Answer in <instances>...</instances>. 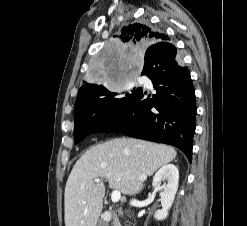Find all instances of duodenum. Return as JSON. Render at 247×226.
Here are the masks:
<instances>
[{
  "mask_svg": "<svg viewBox=\"0 0 247 226\" xmlns=\"http://www.w3.org/2000/svg\"><path fill=\"white\" fill-rule=\"evenodd\" d=\"M123 214H128L127 211L125 210H122V209H117V210H112V211H107L105 214H104V221H109L113 216H116V215H123Z\"/></svg>",
  "mask_w": 247,
  "mask_h": 226,
  "instance_id": "1",
  "label": "duodenum"
}]
</instances>
